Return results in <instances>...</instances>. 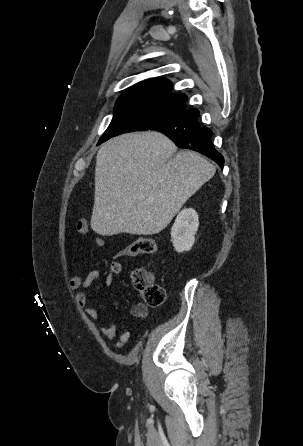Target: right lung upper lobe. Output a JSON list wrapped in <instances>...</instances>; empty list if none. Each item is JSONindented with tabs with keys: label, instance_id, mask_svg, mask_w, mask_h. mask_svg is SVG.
Masks as SVG:
<instances>
[{
	"label": "right lung upper lobe",
	"instance_id": "right-lung-upper-lobe-1",
	"mask_svg": "<svg viewBox=\"0 0 303 446\" xmlns=\"http://www.w3.org/2000/svg\"><path fill=\"white\" fill-rule=\"evenodd\" d=\"M171 89V83L163 78L140 82L125 91L115 106L162 110L175 98H187L184 94H171Z\"/></svg>",
	"mask_w": 303,
	"mask_h": 446
}]
</instances>
